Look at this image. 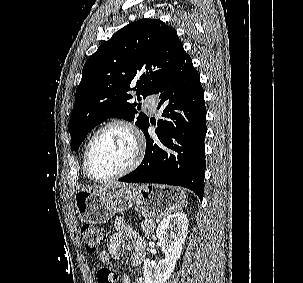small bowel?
Listing matches in <instances>:
<instances>
[{
    "label": "small bowel",
    "instance_id": "1",
    "mask_svg": "<svg viewBox=\"0 0 303 283\" xmlns=\"http://www.w3.org/2000/svg\"><path fill=\"white\" fill-rule=\"evenodd\" d=\"M115 233L111 236L108 249L99 253L102 263H107L111 258H119L125 248L133 246L131 264L139 266L145 257L146 244L144 239L130 227L122 218H117L114 222ZM122 283H131L127 275L122 277ZM135 283H144L143 279L137 278Z\"/></svg>",
    "mask_w": 303,
    "mask_h": 283
}]
</instances>
